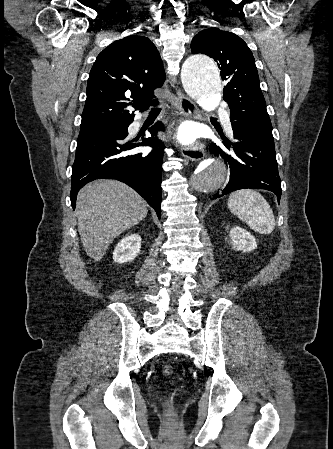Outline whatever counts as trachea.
<instances>
[{
	"mask_svg": "<svg viewBox=\"0 0 333 449\" xmlns=\"http://www.w3.org/2000/svg\"><path fill=\"white\" fill-rule=\"evenodd\" d=\"M161 109L160 108H154L152 109V112H159Z\"/></svg>",
	"mask_w": 333,
	"mask_h": 449,
	"instance_id": "1",
	"label": "trachea"
}]
</instances>
